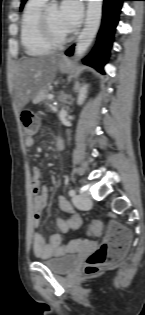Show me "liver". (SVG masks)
I'll return each mask as SVG.
<instances>
[{
	"instance_id": "obj_1",
	"label": "liver",
	"mask_w": 145,
	"mask_h": 315,
	"mask_svg": "<svg viewBox=\"0 0 145 315\" xmlns=\"http://www.w3.org/2000/svg\"><path fill=\"white\" fill-rule=\"evenodd\" d=\"M61 55H50L45 57H27L19 64L16 82L14 109L21 110L31 99L50 84L59 68Z\"/></svg>"
}]
</instances>
